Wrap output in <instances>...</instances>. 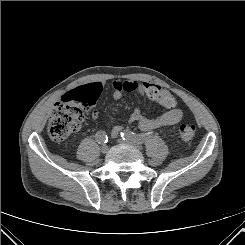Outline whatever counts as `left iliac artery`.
Returning <instances> with one entry per match:
<instances>
[{"label":"left iliac artery","instance_id":"44dca946","mask_svg":"<svg viewBox=\"0 0 245 245\" xmlns=\"http://www.w3.org/2000/svg\"><path fill=\"white\" fill-rule=\"evenodd\" d=\"M121 137L124 141L131 140L133 142H136L138 144L143 143L147 138H149L148 134H135L131 131H124L121 132Z\"/></svg>","mask_w":245,"mask_h":245}]
</instances>
